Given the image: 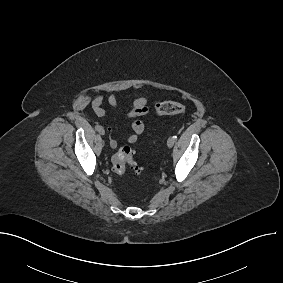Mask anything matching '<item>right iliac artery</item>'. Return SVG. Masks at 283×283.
<instances>
[{"instance_id": "1", "label": "right iliac artery", "mask_w": 283, "mask_h": 283, "mask_svg": "<svg viewBox=\"0 0 283 283\" xmlns=\"http://www.w3.org/2000/svg\"><path fill=\"white\" fill-rule=\"evenodd\" d=\"M100 128H101V126H100V125H96V126H95V129H96L97 131H99V130H100Z\"/></svg>"}]
</instances>
